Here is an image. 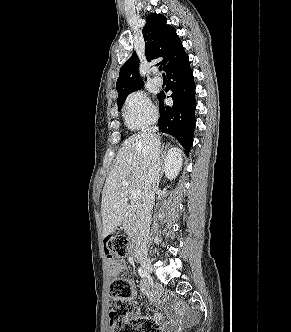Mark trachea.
<instances>
[{
  "instance_id": "1",
  "label": "trachea",
  "mask_w": 291,
  "mask_h": 332,
  "mask_svg": "<svg viewBox=\"0 0 291 332\" xmlns=\"http://www.w3.org/2000/svg\"><path fill=\"white\" fill-rule=\"evenodd\" d=\"M159 70L162 71V66H159Z\"/></svg>"
}]
</instances>
